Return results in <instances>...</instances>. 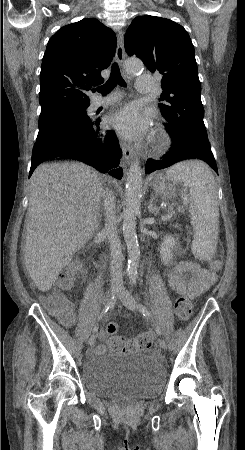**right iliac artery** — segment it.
I'll use <instances>...</instances> for the list:
<instances>
[{"mask_svg":"<svg viewBox=\"0 0 245 450\" xmlns=\"http://www.w3.org/2000/svg\"><path fill=\"white\" fill-rule=\"evenodd\" d=\"M115 300H116L115 296L111 297V299L107 302L102 312L100 313L98 321L114 306ZM97 331H98V323L95 325L93 333H96Z\"/></svg>","mask_w":245,"mask_h":450,"instance_id":"1","label":"right iliac artery"}]
</instances>
